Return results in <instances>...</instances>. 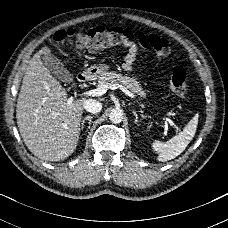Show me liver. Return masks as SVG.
Returning a JSON list of instances; mask_svg holds the SVG:
<instances>
[{"label": "liver", "mask_w": 228, "mask_h": 228, "mask_svg": "<svg viewBox=\"0 0 228 228\" xmlns=\"http://www.w3.org/2000/svg\"><path fill=\"white\" fill-rule=\"evenodd\" d=\"M49 46L37 52L25 72L19 93L16 120L30 152L41 160L61 161L76 150L85 99L70 100L60 83L43 64L52 56Z\"/></svg>", "instance_id": "obj_1"}]
</instances>
